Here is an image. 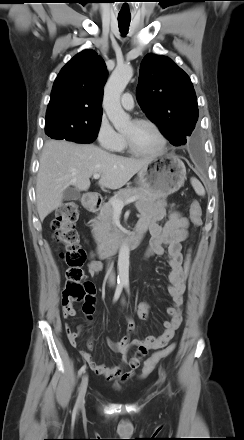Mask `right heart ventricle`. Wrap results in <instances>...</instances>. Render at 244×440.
Returning <instances> with one entry per match:
<instances>
[{"label": "right heart ventricle", "instance_id": "right-heart-ventricle-1", "mask_svg": "<svg viewBox=\"0 0 244 440\" xmlns=\"http://www.w3.org/2000/svg\"><path fill=\"white\" fill-rule=\"evenodd\" d=\"M115 151L120 152V153H123V152L127 151V147H126V144H125L123 136H121L120 143L117 146V148L115 149Z\"/></svg>", "mask_w": 244, "mask_h": 440}]
</instances>
